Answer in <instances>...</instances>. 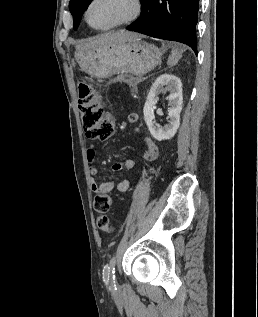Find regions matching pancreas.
Here are the masks:
<instances>
[{"label": "pancreas", "instance_id": "obj_1", "mask_svg": "<svg viewBox=\"0 0 258 317\" xmlns=\"http://www.w3.org/2000/svg\"><path fill=\"white\" fill-rule=\"evenodd\" d=\"M140 80L141 78H138V76H130V78H127L126 82H129V86L136 90V84L137 82H140ZM120 81L122 82L123 80L121 79Z\"/></svg>", "mask_w": 258, "mask_h": 317}]
</instances>
